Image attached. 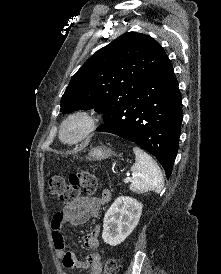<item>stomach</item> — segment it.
Returning <instances> with one entry per match:
<instances>
[{
	"instance_id": "obj_1",
	"label": "stomach",
	"mask_w": 221,
	"mask_h": 274,
	"mask_svg": "<svg viewBox=\"0 0 221 274\" xmlns=\"http://www.w3.org/2000/svg\"><path fill=\"white\" fill-rule=\"evenodd\" d=\"M115 155L109 148L105 146H98L91 148L85 158L87 160L101 161L103 159L109 158L110 156Z\"/></svg>"
}]
</instances>
